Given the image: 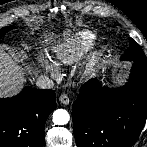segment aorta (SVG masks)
<instances>
[{
	"mask_svg": "<svg viewBox=\"0 0 147 147\" xmlns=\"http://www.w3.org/2000/svg\"><path fill=\"white\" fill-rule=\"evenodd\" d=\"M70 116L65 109H57L53 113L52 120L56 125H65L69 122Z\"/></svg>",
	"mask_w": 147,
	"mask_h": 147,
	"instance_id": "762f6f07",
	"label": "aorta"
}]
</instances>
